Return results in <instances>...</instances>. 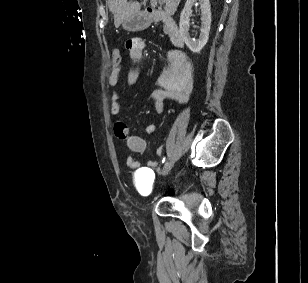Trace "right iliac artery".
<instances>
[{"label":"right iliac artery","mask_w":308,"mask_h":283,"mask_svg":"<svg viewBox=\"0 0 308 283\" xmlns=\"http://www.w3.org/2000/svg\"><path fill=\"white\" fill-rule=\"evenodd\" d=\"M165 162V157L163 158V160H162V163H164Z\"/></svg>","instance_id":"82829eb1"}]
</instances>
